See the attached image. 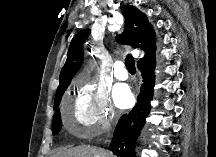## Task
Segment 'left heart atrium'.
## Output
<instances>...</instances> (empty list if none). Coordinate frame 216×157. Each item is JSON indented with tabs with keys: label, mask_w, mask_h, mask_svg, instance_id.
<instances>
[{
	"label": "left heart atrium",
	"mask_w": 216,
	"mask_h": 157,
	"mask_svg": "<svg viewBox=\"0 0 216 157\" xmlns=\"http://www.w3.org/2000/svg\"><path fill=\"white\" fill-rule=\"evenodd\" d=\"M113 98L119 108H127L132 104L133 96L127 85H118L113 92Z\"/></svg>",
	"instance_id": "obj_1"
}]
</instances>
